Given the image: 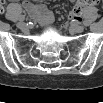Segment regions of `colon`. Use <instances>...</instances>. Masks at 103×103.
I'll use <instances>...</instances> for the list:
<instances>
[{
  "instance_id": "1",
  "label": "colon",
  "mask_w": 103,
  "mask_h": 103,
  "mask_svg": "<svg viewBox=\"0 0 103 103\" xmlns=\"http://www.w3.org/2000/svg\"><path fill=\"white\" fill-rule=\"evenodd\" d=\"M97 1L94 0H83V1H79L76 3V5L74 6L73 10H72V15L74 17H79L82 10L89 5H96Z\"/></svg>"
}]
</instances>
